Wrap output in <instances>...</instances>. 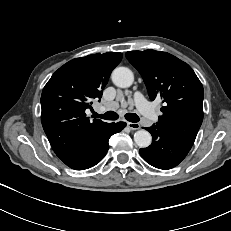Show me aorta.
Masks as SVG:
<instances>
[{
	"label": "aorta",
	"instance_id": "obj_1",
	"mask_svg": "<svg viewBox=\"0 0 231 231\" xmlns=\"http://www.w3.org/2000/svg\"><path fill=\"white\" fill-rule=\"evenodd\" d=\"M113 83L120 88H128L133 84V72L127 67H117L111 74ZM135 143L141 147L146 148L151 144V134L146 130H138L134 134Z\"/></svg>",
	"mask_w": 231,
	"mask_h": 231
}]
</instances>
